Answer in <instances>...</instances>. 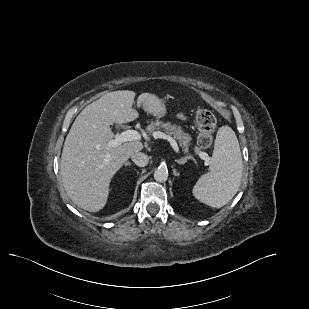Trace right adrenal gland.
I'll return each mask as SVG.
<instances>
[{
    "label": "right adrenal gland",
    "instance_id": "right-adrenal-gland-1",
    "mask_svg": "<svg viewBox=\"0 0 309 309\" xmlns=\"http://www.w3.org/2000/svg\"><path fill=\"white\" fill-rule=\"evenodd\" d=\"M125 166H130L131 165V162H129V161H127V162H125V164H124Z\"/></svg>",
    "mask_w": 309,
    "mask_h": 309
}]
</instances>
